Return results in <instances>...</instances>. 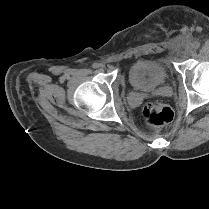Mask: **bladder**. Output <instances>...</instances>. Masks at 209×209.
<instances>
[{
  "instance_id": "31cf9c89",
  "label": "bladder",
  "mask_w": 209,
  "mask_h": 209,
  "mask_svg": "<svg viewBox=\"0 0 209 209\" xmlns=\"http://www.w3.org/2000/svg\"><path fill=\"white\" fill-rule=\"evenodd\" d=\"M127 75L134 89L153 92L166 82L168 71L160 59H140L130 66Z\"/></svg>"
}]
</instances>
